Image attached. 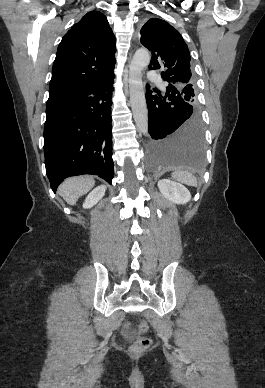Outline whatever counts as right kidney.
Masks as SVG:
<instances>
[{"label": "right kidney", "mask_w": 265, "mask_h": 388, "mask_svg": "<svg viewBox=\"0 0 265 388\" xmlns=\"http://www.w3.org/2000/svg\"><path fill=\"white\" fill-rule=\"evenodd\" d=\"M106 188L105 186H98V188H95V190H92L90 194H88L84 204L83 208H92V206H95L103 196H105Z\"/></svg>", "instance_id": "right-kidney-1"}]
</instances>
